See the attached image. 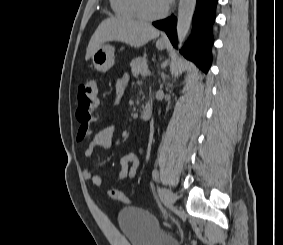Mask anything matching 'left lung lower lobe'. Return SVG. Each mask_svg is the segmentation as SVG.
<instances>
[{
    "label": "left lung lower lobe",
    "instance_id": "0a47b994",
    "mask_svg": "<svg viewBox=\"0 0 283 245\" xmlns=\"http://www.w3.org/2000/svg\"><path fill=\"white\" fill-rule=\"evenodd\" d=\"M218 0H197L193 17V33L187 45L181 53L192 60L204 72H208L211 66L212 42L211 26L215 19V9ZM153 25L164 29L171 43L176 47V18H170L154 22Z\"/></svg>",
    "mask_w": 283,
    "mask_h": 245
}]
</instances>
